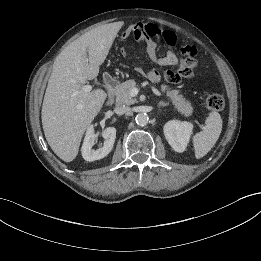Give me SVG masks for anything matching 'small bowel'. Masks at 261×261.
<instances>
[{"mask_svg": "<svg viewBox=\"0 0 261 261\" xmlns=\"http://www.w3.org/2000/svg\"><path fill=\"white\" fill-rule=\"evenodd\" d=\"M140 24L141 23L134 25L135 32L133 34H131V36H133L137 42L145 44L147 56L150 59V61H152L153 63H155L156 65H159V66L177 67L176 70L166 71L171 74L172 80H168L167 78L166 79L169 82L176 83V82H179L183 78H190L194 74V71L196 69V60H195V56L197 53L196 48L193 46H189V45L181 47L180 53H181L182 57H179L172 50L176 46L177 41L173 45L168 44L166 41V38L168 35H170V34L175 35L174 32L159 28L160 32L158 35L145 36V35L139 34L137 31V28ZM151 25L153 26L154 24H151ZM156 38H162L166 42V44L171 48L166 52V54L164 56H158V54H157L158 47H157V43L155 40ZM147 75H148V78L152 82L156 83L160 80L159 73L154 69L148 71Z\"/></svg>", "mask_w": 261, "mask_h": 261, "instance_id": "c3829d8e", "label": "small bowel"}]
</instances>
